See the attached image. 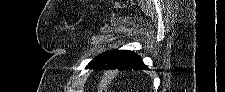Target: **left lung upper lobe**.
<instances>
[{"instance_id":"5c2ea615","label":"left lung upper lobe","mask_w":225,"mask_h":92,"mask_svg":"<svg viewBox=\"0 0 225 92\" xmlns=\"http://www.w3.org/2000/svg\"><path fill=\"white\" fill-rule=\"evenodd\" d=\"M117 50L106 51L101 55L95 57L87 66L86 68L95 69L97 68L102 62H104L109 56L115 53Z\"/></svg>"}]
</instances>
